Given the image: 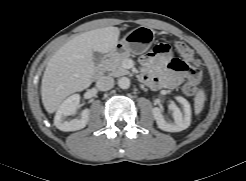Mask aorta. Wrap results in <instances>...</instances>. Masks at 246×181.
Instances as JSON below:
<instances>
[{
	"mask_svg": "<svg viewBox=\"0 0 246 181\" xmlns=\"http://www.w3.org/2000/svg\"><path fill=\"white\" fill-rule=\"evenodd\" d=\"M131 85L130 79L128 77H121L118 79V86L121 89H128Z\"/></svg>",
	"mask_w": 246,
	"mask_h": 181,
	"instance_id": "obj_1",
	"label": "aorta"
}]
</instances>
